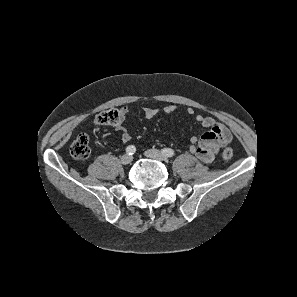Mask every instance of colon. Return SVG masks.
I'll return each instance as SVG.
<instances>
[{"label": "colon", "instance_id": "1", "mask_svg": "<svg viewBox=\"0 0 297 297\" xmlns=\"http://www.w3.org/2000/svg\"><path fill=\"white\" fill-rule=\"evenodd\" d=\"M121 121L120 111L117 109L106 110L99 113L95 122L99 125H117ZM70 153L73 158L83 160L90 156L91 148L89 143V138L86 134H80L72 142L70 146ZM233 152L230 148H225L221 152V159L223 162L227 163L232 158Z\"/></svg>", "mask_w": 297, "mask_h": 297}]
</instances>
